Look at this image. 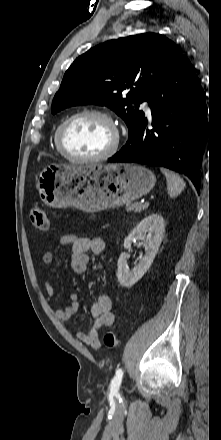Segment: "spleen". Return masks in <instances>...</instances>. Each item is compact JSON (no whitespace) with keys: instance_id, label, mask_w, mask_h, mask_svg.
Listing matches in <instances>:
<instances>
[{"instance_id":"1","label":"spleen","mask_w":221,"mask_h":440,"mask_svg":"<svg viewBox=\"0 0 221 440\" xmlns=\"http://www.w3.org/2000/svg\"><path fill=\"white\" fill-rule=\"evenodd\" d=\"M160 170L166 177L169 196H178L186 186L183 179L177 173L170 171L166 168H160Z\"/></svg>"}]
</instances>
